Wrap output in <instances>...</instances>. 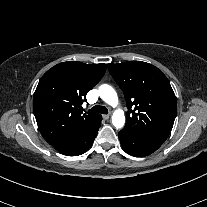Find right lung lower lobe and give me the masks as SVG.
I'll use <instances>...</instances> for the list:
<instances>
[{"mask_svg": "<svg viewBox=\"0 0 207 207\" xmlns=\"http://www.w3.org/2000/svg\"><path fill=\"white\" fill-rule=\"evenodd\" d=\"M101 120L102 117L88 126L75 130L66 140L54 146L55 149L67 156L83 154L93 143L101 125Z\"/></svg>", "mask_w": 207, "mask_h": 207, "instance_id": "98d812e1", "label": "right lung lower lobe"}]
</instances>
